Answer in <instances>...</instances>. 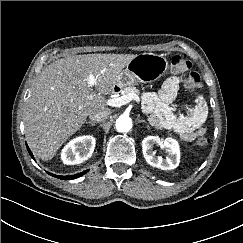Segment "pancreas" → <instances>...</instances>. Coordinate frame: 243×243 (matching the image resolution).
<instances>
[{
    "label": "pancreas",
    "instance_id": "1",
    "mask_svg": "<svg viewBox=\"0 0 243 243\" xmlns=\"http://www.w3.org/2000/svg\"><path fill=\"white\" fill-rule=\"evenodd\" d=\"M130 93H134V94L138 95L140 93V91L134 86H129V87H126V88L123 89L121 95L123 96V95H127V94H130Z\"/></svg>",
    "mask_w": 243,
    "mask_h": 243
}]
</instances>
